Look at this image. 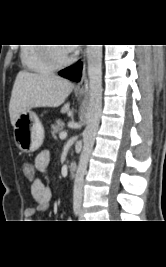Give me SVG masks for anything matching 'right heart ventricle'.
<instances>
[{"label": "right heart ventricle", "mask_w": 166, "mask_h": 267, "mask_svg": "<svg viewBox=\"0 0 166 267\" xmlns=\"http://www.w3.org/2000/svg\"><path fill=\"white\" fill-rule=\"evenodd\" d=\"M38 44L24 45L20 49V59L22 65L33 72L47 73L53 71L51 66L43 57L41 46Z\"/></svg>", "instance_id": "right-heart-ventricle-1"}]
</instances>
